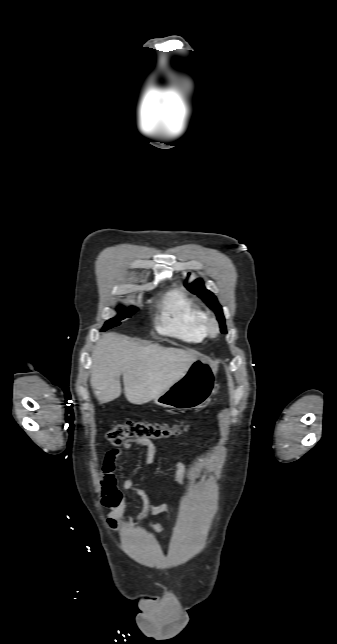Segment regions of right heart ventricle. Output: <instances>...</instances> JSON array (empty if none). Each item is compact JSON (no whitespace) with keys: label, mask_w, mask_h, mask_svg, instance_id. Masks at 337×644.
Wrapping results in <instances>:
<instances>
[{"label":"right heart ventricle","mask_w":337,"mask_h":644,"mask_svg":"<svg viewBox=\"0 0 337 644\" xmlns=\"http://www.w3.org/2000/svg\"><path fill=\"white\" fill-rule=\"evenodd\" d=\"M206 315L183 289L170 290L161 306L158 330L188 343H200L205 337Z\"/></svg>","instance_id":"1"}]
</instances>
